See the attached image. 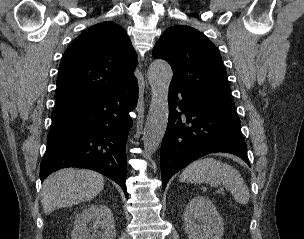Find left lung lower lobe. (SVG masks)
Instances as JSON below:
<instances>
[{
    "label": "left lung lower lobe",
    "mask_w": 304,
    "mask_h": 239,
    "mask_svg": "<svg viewBox=\"0 0 304 239\" xmlns=\"http://www.w3.org/2000/svg\"><path fill=\"white\" fill-rule=\"evenodd\" d=\"M168 101L169 122L161 145L163 190L175 173L210 153H231L249 164L235 109L205 102L172 86Z\"/></svg>",
    "instance_id": "left-lung-lower-lobe-1"
}]
</instances>
